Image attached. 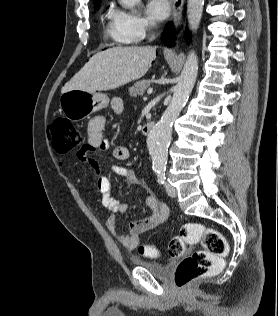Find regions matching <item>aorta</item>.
Returning a JSON list of instances; mask_svg holds the SVG:
<instances>
[{"mask_svg":"<svg viewBox=\"0 0 278 316\" xmlns=\"http://www.w3.org/2000/svg\"><path fill=\"white\" fill-rule=\"evenodd\" d=\"M120 2L125 8L133 11V8L140 0H120ZM203 6L204 0H188L187 18L190 30L193 33L199 27ZM197 73L198 58L196 53L191 51L184 64L170 104L162 114L160 121L150 130L147 137V146L154 170L164 171L166 168L172 126L189 98L197 78Z\"/></svg>","mask_w":278,"mask_h":316,"instance_id":"762f6f07","label":"aorta"}]
</instances>
